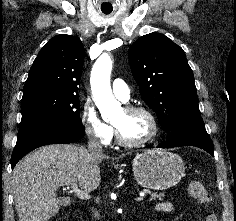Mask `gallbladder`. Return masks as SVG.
<instances>
[{"instance_id": "obj_1", "label": "gallbladder", "mask_w": 236, "mask_h": 221, "mask_svg": "<svg viewBox=\"0 0 236 221\" xmlns=\"http://www.w3.org/2000/svg\"><path fill=\"white\" fill-rule=\"evenodd\" d=\"M59 203H60V204H63V201H62L61 199H59Z\"/></svg>"}]
</instances>
